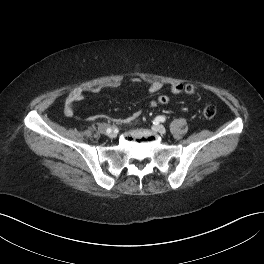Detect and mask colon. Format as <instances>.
<instances>
[{"label":"colon","mask_w":264,"mask_h":264,"mask_svg":"<svg viewBox=\"0 0 264 264\" xmlns=\"http://www.w3.org/2000/svg\"><path fill=\"white\" fill-rule=\"evenodd\" d=\"M184 92L187 94H193L195 92V87L191 84H187L184 86ZM157 102L160 105H167L170 102V98L166 95H161L158 97ZM216 108L213 105H207L205 106L202 111L201 114L203 117L207 118V119H211L216 115Z\"/></svg>","instance_id":"obj_1"}]
</instances>
